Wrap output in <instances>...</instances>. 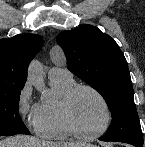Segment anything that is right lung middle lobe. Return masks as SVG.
<instances>
[{"label": "right lung middle lobe", "mask_w": 145, "mask_h": 147, "mask_svg": "<svg viewBox=\"0 0 145 147\" xmlns=\"http://www.w3.org/2000/svg\"><path fill=\"white\" fill-rule=\"evenodd\" d=\"M23 87L0 92V136L30 134L19 116V99Z\"/></svg>", "instance_id": "right-lung-middle-lobe-1"}]
</instances>
